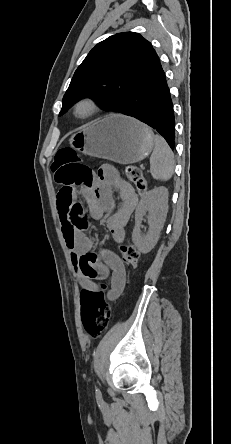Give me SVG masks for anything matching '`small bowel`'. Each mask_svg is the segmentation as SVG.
<instances>
[{
  "mask_svg": "<svg viewBox=\"0 0 231 444\" xmlns=\"http://www.w3.org/2000/svg\"><path fill=\"white\" fill-rule=\"evenodd\" d=\"M89 211L93 218H106V226L117 242L125 239V228L136 203L137 195L119 172L110 165L99 168L90 183L83 185ZM114 193L120 199L115 209ZM62 233L71 252L74 267L84 290L96 291L97 281L111 278V299L116 298L124 289L126 269L123 260L111 250L93 251L94 243L84 232L79 231L74 222L73 208L77 205V192L74 188L63 186L57 197ZM100 257L103 261H100Z\"/></svg>",
  "mask_w": 231,
  "mask_h": 444,
  "instance_id": "1",
  "label": "small bowel"
}]
</instances>
